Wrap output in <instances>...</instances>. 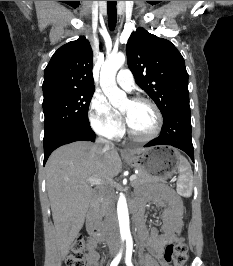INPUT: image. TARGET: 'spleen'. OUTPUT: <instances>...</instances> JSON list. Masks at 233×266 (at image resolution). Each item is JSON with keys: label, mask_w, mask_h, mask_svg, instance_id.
I'll list each match as a JSON object with an SVG mask.
<instances>
[{"label": "spleen", "mask_w": 233, "mask_h": 266, "mask_svg": "<svg viewBox=\"0 0 233 266\" xmlns=\"http://www.w3.org/2000/svg\"><path fill=\"white\" fill-rule=\"evenodd\" d=\"M179 177L177 181V193L183 197H190L193 189V173L187 159L183 156H178Z\"/></svg>", "instance_id": "spleen-1"}]
</instances>
